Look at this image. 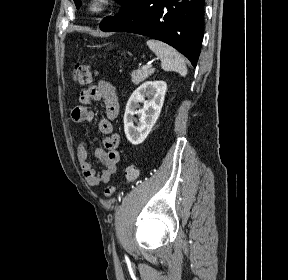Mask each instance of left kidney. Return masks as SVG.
I'll return each mask as SVG.
<instances>
[{
  "mask_svg": "<svg viewBox=\"0 0 288 280\" xmlns=\"http://www.w3.org/2000/svg\"><path fill=\"white\" fill-rule=\"evenodd\" d=\"M166 90L164 81H147L132 93L124 114V131L129 142L138 145L147 138L161 113ZM136 114L139 119L134 117Z\"/></svg>",
  "mask_w": 288,
  "mask_h": 280,
  "instance_id": "1",
  "label": "left kidney"
}]
</instances>
